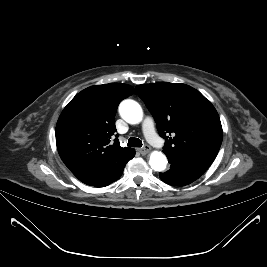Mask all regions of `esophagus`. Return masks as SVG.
I'll use <instances>...</instances> for the list:
<instances>
[{
    "mask_svg": "<svg viewBox=\"0 0 267 267\" xmlns=\"http://www.w3.org/2000/svg\"><path fill=\"white\" fill-rule=\"evenodd\" d=\"M139 152L142 154V155H145L149 152V146L148 145H145L143 148L139 149Z\"/></svg>",
    "mask_w": 267,
    "mask_h": 267,
    "instance_id": "esophagus-1",
    "label": "esophagus"
}]
</instances>
